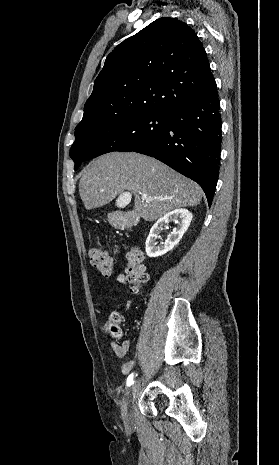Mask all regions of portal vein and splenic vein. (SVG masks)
Returning <instances> with one entry per match:
<instances>
[{
    "instance_id": "portal-vein-and-splenic-vein-1",
    "label": "portal vein and splenic vein",
    "mask_w": 279,
    "mask_h": 465,
    "mask_svg": "<svg viewBox=\"0 0 279 465\" xmlns=\"http://www.w3.org/2000/svg\"><path fill=\"white\" fill-rule=\"evenodd\" d=\"M122 197H123V198L130 199V198H131V194H130L129 192H125V193H123ZM141 197H142V200H146V201H151V200H164V198H152V197H149L147 194H142Z\"/></svg>"
}]
</instances>
